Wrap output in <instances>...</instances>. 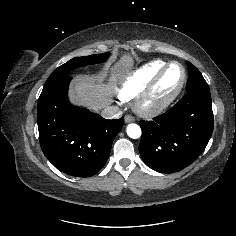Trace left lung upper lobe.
<instances>
[{"label":"left lung upper lobe","mask_w":236,"mask_h":236,"mask_svg":"<svg viewBox=\"0 0 236 236\" xmlns=\"http://www.w3.org/2000/svg\"><path fill=\"white\" fill-rule=\"evenodd\" d=\"M189 79L186 86V92L199 89V88H208V84L203 78L200 71L190 62L187 61Z\"/></svg>","instance_id":"obj_1"}]
</instances>
